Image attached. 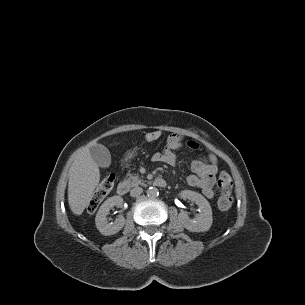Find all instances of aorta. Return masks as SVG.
<instances>
[{
    "mask_svg": "<svg viewBox=\"0 0 305 305\" xmlns=\"http://www.w3.org/2000/svg\"><path fill=\"white\" fill-rule=\"evenodd\" d=\"M147 195L150 198H156L159 195V191L156 187H149L147 190Z\"/></svg>",
    "mask_w": 305,
    "mask_h": 305,
    "instance_id": "aorta-1",
    "label": "aorta"
}]
</instances>
